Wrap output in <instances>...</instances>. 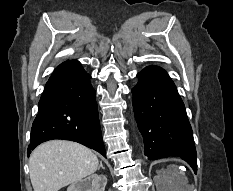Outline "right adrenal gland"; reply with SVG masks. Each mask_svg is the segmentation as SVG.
<instances>
[{"label":"right adrenal gland","instance_id":"1","mask_svg":"<svg viewBox=\"0 0 233 191\" xmlns=\"http://www.w3.org/2000/svg\"><path fill=\"white\" fill-rule=\"evenodd\" d=\"M100 168L105 169V168L103 167L102 161H100V165H99V167H98V170H99Z\"/></svg>","mask_w":233,"mask_h":191}]
</instances>
